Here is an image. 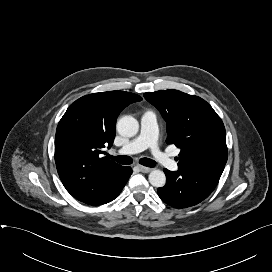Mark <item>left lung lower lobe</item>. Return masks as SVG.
Returning <instances> with one entry per match:
<instances>
[{
  "label": "left lung lower lobe",
  "mask_w": 272,
  "mask_h": 272,
  "mask_svg": "<svg viewBox=\"0 0 272 272\" xmlns=\"http://www.w3.org/2000/svg\"><path fill=\"white\" fill-rule=\"evenodd\" d=\"M166 185L158 189L159 197L175 208L194 206L206 199L215 189L222 173L194 168L164 169Z\"/></svg>",
  "instance_id": "1"
}]
</instances>
